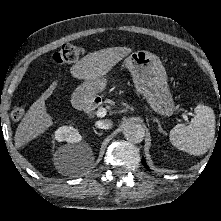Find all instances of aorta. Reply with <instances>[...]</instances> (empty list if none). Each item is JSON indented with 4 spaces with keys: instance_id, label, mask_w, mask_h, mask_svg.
Returning <instances> with one entry per match:
<instances>
[{
    "instance_id": "aorta-1",
    "label": "aorta",
    "mask_w": 221,
    "mask_h": 221,
    "mask_svg": "<svg viewBox=\"0 0 221 221\" xmlns=\"http://www.w3.org/2000/svg\"><path fill=\"white\" fill-rule=\"evenodd\" d=\"M123 134L127 140L139 143L144 139L145 130L142 125L130 122L124 126Z\"/></svg>"
}]
</instances>
